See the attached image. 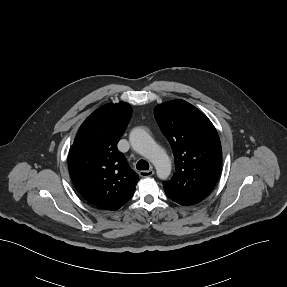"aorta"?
Wrapping results in <instances>:
<instances>
[{
    "mask_svg": "<svg viewBox=\"0 0 287 287\" xmlns=\"http://www.w3.org/2000/svg\"><path fill=\"white\" fill-rule=\"evenodd\" d=\"M135 151L146 157L156 168L157 176L165 180L171 173V161L166 152L154 141L144 129L134 128L129 136Z\"/></svg>",
    "mask_w": 287,
    "mask_h": 287,
    "instance_id": "1",
    "label": "aorta"
}]
</instances>
